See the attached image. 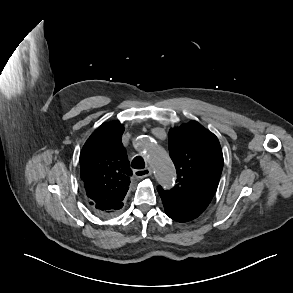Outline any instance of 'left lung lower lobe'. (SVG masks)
<instances>
[{"label":"left lung lower lobe","mask_w":293,"mask_h":293,"mask_svg":"<svg viewBox=\"0 0 293 293\" xmlns=\"http://www.w3.org/2000/svg\"><path fill=\"white\" fill-rule=\"evenodd\" d=\"M166 214L177 222H187L197 218L200 214L192 211L191 209L184 207L172 200L167 195L159 192Z\"/></svg>","instance_id":"0a47b994"}]
</instances>
